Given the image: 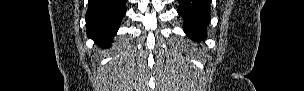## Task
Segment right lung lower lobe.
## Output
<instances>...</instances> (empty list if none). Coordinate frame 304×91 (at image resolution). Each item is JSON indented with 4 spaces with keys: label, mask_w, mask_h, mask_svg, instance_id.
I'll return each instance as SVG.
<instances>
[{
    "label": "right lung lower lobe",
    "mask_w": 304,
    "mask_h": 91,
    "mask_svg": "<svg viewBox=\"0 0 304 91\" xmlns=\"http://www.w3.org/2000/svg\"><path fill=\"white\" fill-rule=\"evenodd\" d=\"M126 0H88L87 35L100 46L110 47L126 13Z\"/></svg>",
    "instance_id": "1"
}]
</instances>
